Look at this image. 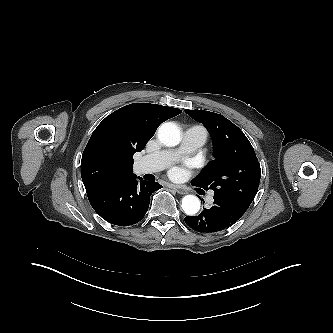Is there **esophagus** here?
Here are the masks:
<instances>
[{"label":"esophagus","mask_w":333,"mask_h":333,"mask_svg":"<svg viewBox=\"0 0 333 333\" xmlns=\"http://www.w3.org/2000/svg\"><path fill=\"white\" fill-rule=\"evenodd\" d=\"M168 187L171 189H174L179 194H187V190H185L184 188H182L180 186H177L174 184H169Z\"/></svg>","instance_id":"esophagus-1"}]
</instances>
